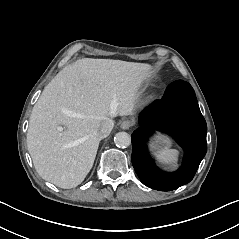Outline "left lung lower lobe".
<instances>
[{
  "instance_id": "0a47b994",
  "label": "left lung lower lobe",
  "mask_w": 239,
  "mask_h": 239,
  "mask_svg": "<svg viewBox=\"0 0 239 239\" xmlns=\"http://www.w3.org/2000/svg\"><path fill=\"white\" fill-rule=\"evenodd\" d=\"M141 127L133 132L132 164L141 182L155 190L171 191L190 182L207 151V125L195 92L188 82L171 83L161 100L139 116ZM155 130L169 133L184 149L182 166L176 172L158 169L146 150V139Z\"/></svg>"
}]
</instances>
